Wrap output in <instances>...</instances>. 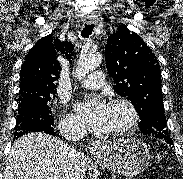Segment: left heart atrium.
Instances as JSON below:
<instances>
[{
  "mask_svg": "<svg viewBox=\"0 0 183 179\" xmlns=\"http://www.w3.org/2000/svg\"><path fill=\"white\" fill-rule=\"evenodd\" d=\"M83 123L92 131L101 132L106 128L108 106L100 100L82 102L76 108Z\"/></svg>",
  "mask_w": 183,
  "mask_h": 179,
  "instance_id": "39dd6f15",
  "label": "left heart atrium"
}]
</instances>
